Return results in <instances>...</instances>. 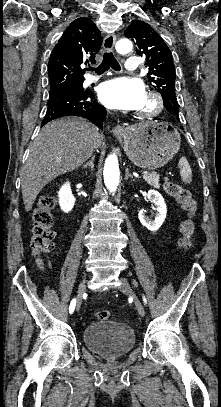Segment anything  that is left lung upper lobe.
I'll list each match as a JSON object with an SVG mask.
<instances>
[{
	"label": "left lung upper lobe",
	"mask_w": 221,
	"mask_h": 407,
	"mask_svg": "<svg viewBox=\"0 0 221 407\" xmlns=\"http://www.w3.org/2000/svg\"><path fill=\"white\" fill-rule=\"evenodd\" d=\"M125 36L136 44V53L146 58L149 67L148 80L162 95L164 106L178 116V102L175 95V66L172 53L160 35L143 21L132 22Z\"/></svg>",
	"instance_id": "obj_1"
}]
</instances>
